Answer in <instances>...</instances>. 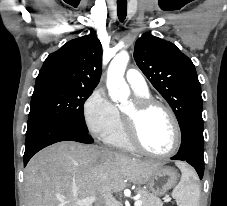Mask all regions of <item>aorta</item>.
I'll use <instances>...</instances> for the list:
<instances>
[{
	"label": "aorta",
	"mask_w": 227,
	"mask_h": 206,
	"mask_svg": "<svg viewBox=\"0 0 227 206\" xmlns=\"http://www.w3.org/2000/svg\"><path fill=\"white\" fill-rule=\"evenodd\" d=\"M129 61L126 51L118 53L111 61L107 71L106 85L113 102L125 103L130 96V89L124 79V73Z\"/></svg>",
	"instance_id": "aorta-1"
}]
</instances>
